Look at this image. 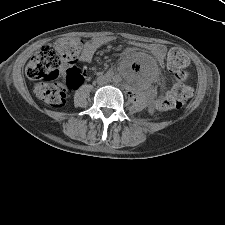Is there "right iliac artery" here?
<instances>
[{
	"instance_id": "82829eb1",
	"label": "right iliac artery",
	"mask_w": 225,
	"mask_h": 225,
	"mask_svg": "<svg viewBox=\"0 0 225 225\" xmlns=\"http://www.w3.org/2000/svg\"><path fill=\"white\" fill-rule=\"evenodd\" d=\"M113 75V73H107V77H111Z\"/></svg>"
}]
</instances>
